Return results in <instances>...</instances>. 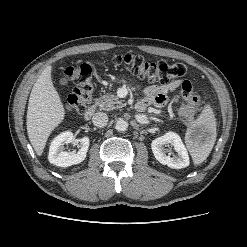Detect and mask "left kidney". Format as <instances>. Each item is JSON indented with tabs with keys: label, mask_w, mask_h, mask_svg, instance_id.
I'll list each match as a JSON object with an SVG mask.
<instances>
[{
	"label": "left kidney",
	"mask_w": 247,
	"mask_h": 247,
	"mask_svg": "<svg viewBox=\"0 0 247 247\" xmlns=\"http://www.w3.org/2000/svg\"><path fill=\"white\" fill-rule=\"evenodd\" d=\"M171 145L178 153L177 156L166 155L165 146ZM151 149L155 158L163 165L170 168L181 169L189 165V156L180 136L174 132H167L165 135L156 138L151 143Z\"/></svg>",
	"instance_id": "left-kidney-1"
}]
</instances>
